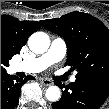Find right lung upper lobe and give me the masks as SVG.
Masks as SVG:
<instances>
[{
	"label": "right lung upper lobe",
	"instance_id": "1",
	"mask_svg": "<svg viewBox=\"0 0 109 109\" xmlns=\"http://www.w3.org/2000/svg\"><path fill=\"white\" fill-rule=\"evenodd\" d=\"M39 29L37 21H19L12 16H1V50L8 65L9 60L20 53L28 37ZM5 67L1 73L6 72Z\"/></svg>",
	"mask_w": 109,
	"mask_h": 109
}]
</instances>
